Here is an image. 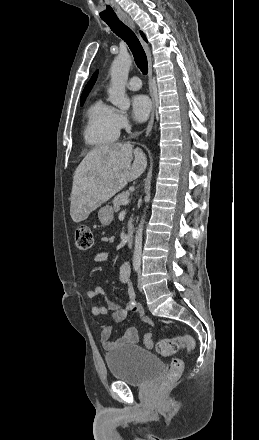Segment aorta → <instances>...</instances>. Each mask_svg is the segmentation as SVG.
I'll use <instances>...</instances> for the list:
<instances>
[{"label":"aorta","instance_id":"762f6f07","mask_svg":"<svg viewBox=\"0 0 259 440\" xmlns=\"http://www.w3.org/2000/svg\"><path fill=\"white\" fill-rule=\"evenodd\" d=\"M132 64V59L129 54H119L111 65V85L108 90L110 102L120 110L126 111L130 107V100L126 96L125 86L128 80L129 70ZM150 201V194L146 197V202ZM145 216L142 217L135 235V246L133 260L135 262L141 261L142 254V235Z\"/></svg>","mask_w":259,"mask_h":440}]
</instances>
